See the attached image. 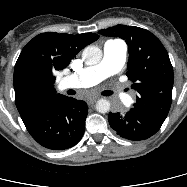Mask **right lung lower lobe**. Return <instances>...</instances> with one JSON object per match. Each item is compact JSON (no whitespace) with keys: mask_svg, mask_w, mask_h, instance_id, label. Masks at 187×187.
<instances>
[{"mask_svg":"<svg viewBox=\"0 0 187 187\" xmlns=\"http://www.w3.org/2000/svg\"><path fill=\"white\" fill-rule=\"evenodd\" d=\"M87 113L84 101L66 96L23 122L40 145L52 150H64L81 140Z\"/></svg>","mask_w":187,"mask_h":187,"instance_id":"1","label":"right lung lower lobe"}]
</instances>
